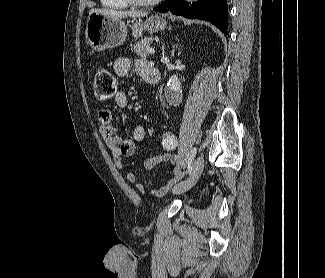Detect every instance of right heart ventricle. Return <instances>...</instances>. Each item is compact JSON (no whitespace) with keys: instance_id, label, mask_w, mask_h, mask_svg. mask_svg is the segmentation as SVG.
<instances>
[{"instance_id":"obj_1","label":"right heart ventricle","mask_w":325,"mask_h":278,"mask_svg":"<svg viewBox=\"0 0 325 278\" xmlns=\"http://www.w3.org/2000/svg\"><path fill=\"white\" fill-rule=\"evenodd\" d=\"M100 2L102 6L112 10H122L130 7L125 0H100Z\"/></svg>"}]
</instances>
